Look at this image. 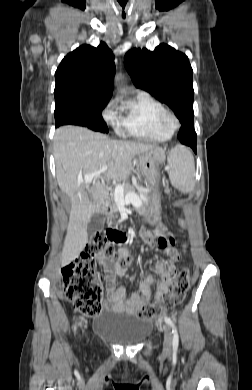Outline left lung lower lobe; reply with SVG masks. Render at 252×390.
I'll return each instance as SVG.
<instances>
[{"label":"left lung lower lobe","instance_id":"left-lung-lower-lobe-1","mask_svg":"<svg viewBox=\"0 0 252 390\" xmlns=\"http://www.w3.org/2000/svg\"><path fill=\"white\" fill-rule=\"evenodd\" d=\"M178 138L182 144L190 146L196 153V133L193 122L187 121L182 123Z\"/></svg>","mask_w":252,"mask_h":390}]
</instances>
